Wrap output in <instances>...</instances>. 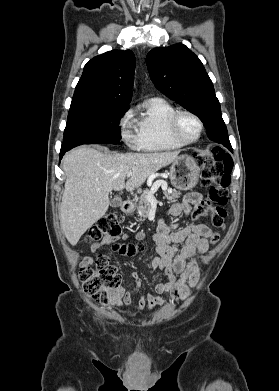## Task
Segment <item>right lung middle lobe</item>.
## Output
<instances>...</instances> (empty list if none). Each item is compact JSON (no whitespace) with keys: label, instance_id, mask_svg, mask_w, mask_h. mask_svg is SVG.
<instances>
[{"label":"right lung middle lobe","instance_id":"right-lung-middle-lobe-1","mask_svg":"<svg viewBox=\"0 0 279 391\" xmlns=\"http://www.w3.org/2000/svg\"><path fill=\"white\" fill-rule=\"evenodd\" d=\"M129 107H96L69 111L61 150L81 144L120 141L119 121Z\"/></svg>","mask_w":279,"mask_h":391}]
</instances>
